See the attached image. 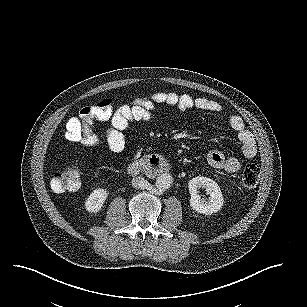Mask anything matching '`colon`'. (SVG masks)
Returning <instances> with one entry per match:
<instances>
[{"instance_id":"1","label":"colon","mask_w":307,"mask_h":307,"mask_svg":"<svg viewBox=\"0 0 307 307\" xmlns=\"http://www.w3.org/2000/svg\"><path fill=\"white\" fill-rule=\"evenodd\" d=\"M111 99H104L94 106L81 110V139L80 142L89 147L100 145V139L94 132L92 124L97 119V114L105 112L112 107ZM260 170L255 164H248L242 172V184L246 188H253L259 181ZM81 185V169L78 163H71L58 171L51 180V187L57 193L75 191Z\"/></svg>"}]
</instances>
